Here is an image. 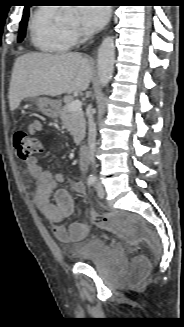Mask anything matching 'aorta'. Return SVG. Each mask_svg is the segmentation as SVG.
I'll return each mask as SVG.
<instances>
[{
	"instance_id": "762f6f07",
	"label": "aorta",
	"mask_w": 184,
	"mask_h": 327,
	"mask_svg": "<svg viewBox=\"0 0 184 327\" xmlns=\"http://www.w3.org/2000/svg\"><path fill=\"white\" fill-rule=\"evenodd\" d=\"M115 63V44L113 37H106L98 48L97 68L99 83L105 87L110 82Z\"/></svg>"
}]
</instances>
